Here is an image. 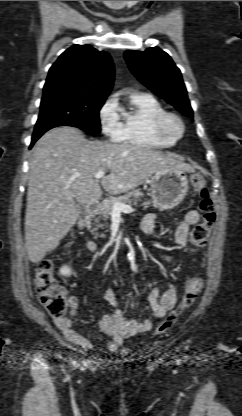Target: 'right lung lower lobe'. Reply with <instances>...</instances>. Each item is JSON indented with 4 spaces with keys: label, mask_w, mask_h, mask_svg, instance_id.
Segmentation results:
<instances>
[{
    "label": "right lung lower lobe",
    "mask_w": 242,
    "mask_h": 416,
    "mask_svg": "<svg viewBox=\"0 0 242 416\" xmlns=\"http://www.w3.org/2000/svg\"><path fill=\"white\" fill-rule=\"evenodd\" d=\"M41 135H33V137H32V141H31V144H30V148L33 146V144L35 143V141L40 137Z\"/></svg>",
    "instance_id": "obj_1"
}]
</instances>
